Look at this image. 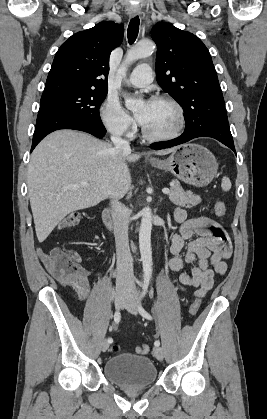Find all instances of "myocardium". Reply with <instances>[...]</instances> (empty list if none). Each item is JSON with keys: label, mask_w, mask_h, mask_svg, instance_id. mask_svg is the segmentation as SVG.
Returning a JSON list of instances; mask_svg holds the SVG:
<instances>
[{"label": "myocardium", "mask_w": 267, "mask_h": 419, "mask_svg": "<svg viewBox=\"0 0 267 419\" xmlns=\"http://www.w3.org/2000/svg\"><path fill=\"white\" fill-rule=\"evenodd\" d=\"M152 101L167 102L171 104L177 112L178 123L177 126L171 132L166 134H152L149 131H147V129L141 124V133L143 137L153 142H162L175 139L182 133L186 123L185 112L182 105L175 98L169 95H157L153 97Z\"/></svg>", "instance_id": "f54148a6"}]
</instances>
